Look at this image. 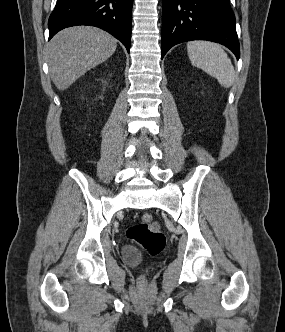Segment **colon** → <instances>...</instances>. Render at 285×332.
Returning a JSON list of instances; mask_svg holds the SVG:
<instances>
[{"label": "colon", "instance_id": "5ec220e1", "mask_svg": "<svg viewBox=\"0 0 285 332\" xmlns=\"http://www.w3.org/2000/svg\"><path fill=\"white\" fill-rule=\"evenodd\" d=\"M126 236L150 255L160 253L166 243L163 232L151 214L143 215L141 222L129 226Z\"/></svg>", "mask_w": 285, "mask_h": 332}]
</instances>
